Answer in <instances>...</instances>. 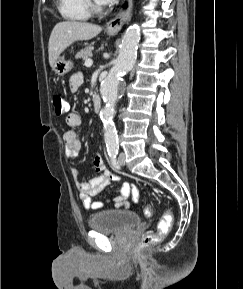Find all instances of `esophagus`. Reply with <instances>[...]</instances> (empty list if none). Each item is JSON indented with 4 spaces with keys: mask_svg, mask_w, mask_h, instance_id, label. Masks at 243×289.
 I'll use <instances>...</instances> for the list:
<instances>
[{
    "mask_svg": "<svg viewBox=\"0 0 243 289\" xmlns=\"http://www.w3.org/2000/svg\"><path fill=\"white\" fill-rule=\"evenodd\" d=\"M127 4L125 9L123 6L119 9L115 17H113L106 24V31L111 34H117L123 27V25L130 20L132 14V0H124L123 4Z\"/></svg>",
    "mask_w": 243,
    "mask_h": 289,
    "instance_id": "1",
    "label": "esophagus"
}]
</instances>
